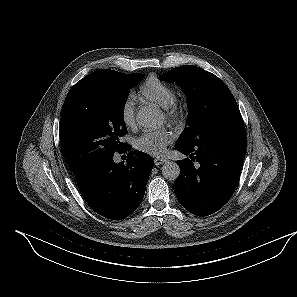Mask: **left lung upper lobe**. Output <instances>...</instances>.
Listing matches in <instances>:
<instances>
[{
  "label": "left lung upper lobe",
  "mask_w": 297,
  "mask_h": 297,
  "mask_svg": "<svg viewBox=\"0 0 297 297\" xmlns=\"http://www.w3.org/2000/svg\"><path fill=\"white\" fill-rule=\"evenodd\" d=\"M159 79L175 82L187 96L188 126L177 140V145L194 148L213 136L243 127L234 96L214 74L188 65L173 68Z\"/></svg>",
  "instance_id": "1"
}]
</instances>
